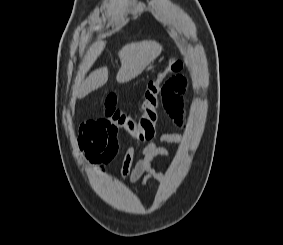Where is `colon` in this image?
Here are the masks:
<instances>
[{"mask_svg":"<svg viewBox=\"0 0 283 245\" xmlns=\"http://www.w3.org/2000/svg\"><path fill=\"white\" fill-rule=\"evenodd\" d=\"M182 67V61L173 58L155 79L148 82L144 92L142 114L139 118L135 119L118 109L117 98L111 94L104 102L102 119L110 123L118 132L122 131L137 141L152 140L157 134L163 83L169 74L179 72Z\"/></svg>","mask_w":283,"mask_h":245,"instance_id":"obj_1","label":"colon"}]
</instances>
